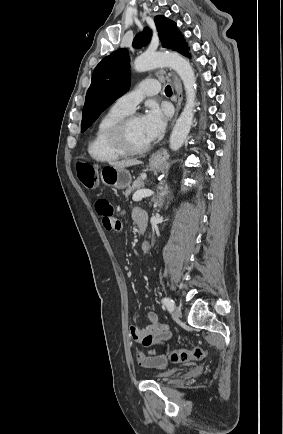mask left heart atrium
Masks as SVG:
<instances>
[{
  "instance_id": "1",
  "label": "left heart atrium",
  "mask_w": 283,
  "mask_h": 434,
  "mask_svg": "<svg viewBox=\"0 0 283 434\" xmlns=\"http://www.w3.org/2000/svg\"><path fill=\"white\" fill-rule=\"evenodd\" d=\"M167 117V111L155 104L149 106L141 117L142 131L149 142L157 139L163 133Z\"/></svg>"
}]
</instances>
